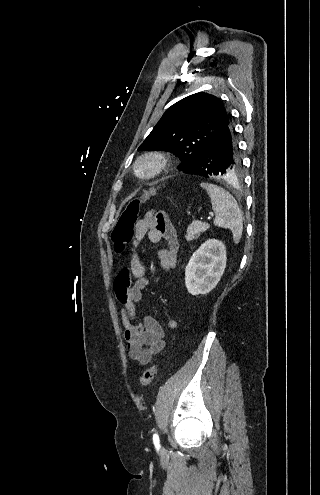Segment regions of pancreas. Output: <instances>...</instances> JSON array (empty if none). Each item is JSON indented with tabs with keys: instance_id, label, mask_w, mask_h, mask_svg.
<instances>
[{
	"instance_id": "obj_1",
	"label": "pancreas",
	"mask_w": 320,
	"mask_h": 495,
	"mask_svg": "<svg viewBox=\"0 0 320 495\" xmlns=\"http://www.w3.org/2000/svg\"><path fill=\"white\" fill-rule=\"evenodd\" d=\"M209 229V224L203 223L201 221H194L187 228V235L185 236L187 241H192L198 239L201 233Z\"/></svg>"
}]
</instances>
